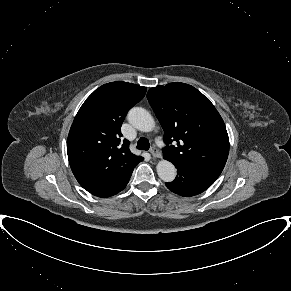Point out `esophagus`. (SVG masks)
<instances>
[{"label":"esophagus","mask_w":291,"mask_h":291,"mask_svg":"<svg viewBox=\"0 0 291 291\" xmlns=\"http://www.w3.org/2000/svg\"><path fill=\"white\" fill-rule=\"evenodd\" d=\"M149 152L155 158H160L161 157V153L159 152V150L155 146H152L150 148Z\"/></svg>","instance_id":"obj_1"}]
</instances>
